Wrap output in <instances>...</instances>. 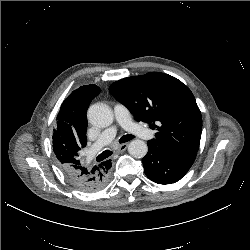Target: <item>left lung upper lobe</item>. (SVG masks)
Here are the masks:
<instances>
[{"label": "left lung upper lobe", "mask_w": 250, "mask_h": 250, "mask_svg": "<svg viewBox=\"0 0 250 250\" xmlns=\"http://www.w3.org/2000/svg\"><path fill=\"white\" fill-rule=\"evenodd\" d=\"M109 91L130 109L137 121L157 129L153 141L172 150L197 153L201 112L194 95L180 80L150 72L116 81Z\"/></svg>", "instance_id": "left-lung-upper-lobe-1"}]
</instances>
